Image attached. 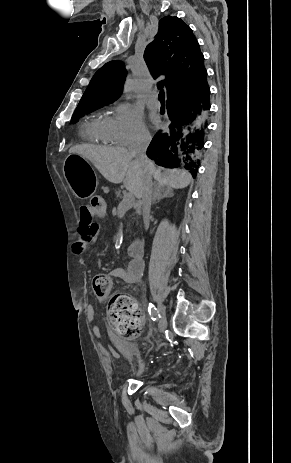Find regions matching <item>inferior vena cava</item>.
<instances>
[{"instance_id": "obj_1", "label": "inferior vena cava", "mask_w": 291, "mask_h": 463, "mask_svg": "<svg viewBox=\"0 0 291 463\" xmlns=\"http://www.w3.org/2000/svg\"><path fill=\"white\" fill-rule=\"evenodd\" d=\"M151 141L149 133H141L137 141L129 148L130 154L144 167V179L141 192V206L145 228L148 229L152 202V174L146 149Z\"/></svg>"}]
</instances>
